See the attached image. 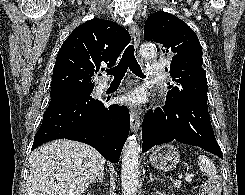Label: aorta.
Segmentation results:
<instances>
[{
    "mask_svg": "<svg viewBox=\"0 0 245 195\" xmlns=\"http://www.w3.org/2000/svg\"><path fill=\"white\" fill-rule=\"evenodd\" d=\"M153 44H144L140 53L144 58L156 56ZM139 153L140 143L136 135L129 136L122 157L121 184L123 195H136L139 184Z\"/></svg>",
    "mask_w": 245,
    "mask_h": 195,
    "instance_id": "aorta-1",
    "label": "aorta"
}]
</instances>
